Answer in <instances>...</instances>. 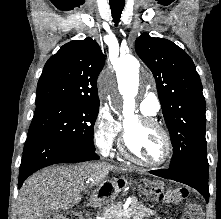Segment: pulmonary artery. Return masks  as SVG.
<instances>
[{"label":"pulmonary artery","instance_id":"obj_1","mask_svg":"<svg viewBox=\"0 0 221 219\" xmlns=\"http://www.w3.org/2000/svg\"><path fill=\"white\" fill-rule=\"evenodd\" d=\"M140 109L144 114L155 115L160 109V103L153 93H147L141 100Z\"/></svg>","mask_w":221,"mask_h":219}]
</instances>
